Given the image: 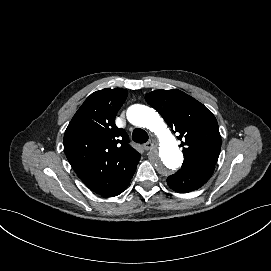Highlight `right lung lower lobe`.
Listing matches in <instances>:
<instances>
[{
	"label": "right lung lower lobe",
	"mask_w": 271,
	"mask_h": 271,
	"mask_svg": "<svg viewBox=\"0 0 271 271\" xmlns=\"http://www.w3.org/2000/svg\"><path fill=\"white\" fill-rule=\"evenodd\" d=\"M137 164H136V166H137ZM136 166H134V168L131 171L124 174L123 179L117 185L112 186L111 188L107 189L106 191H104L100 195L105 196V197H113V196H116V195H119L120 193H122L129 185V182H130L131 178L133 177V174L136 170Z\"/></svg>",
	"instance_id": "1"
}]
</instances>
